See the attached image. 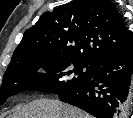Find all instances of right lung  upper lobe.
<instances>
[{"instance_id": "cb5924a9", "label": "right lung upper lobe", "mask_w": 133, "mask_h": 118, "mask_svg": "<svg viewBox=\"0 0 133 118\" xmlns=\"http://www.w3.org/2000/svg\"><path fill=\"white\" fill-rule=\"evenodd\" d=\"M129 43V32L110 0H74L43 13L25 31L7 69L51 58L92 67Z\"/></svg>"}]
</instances>
